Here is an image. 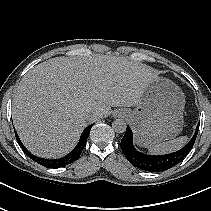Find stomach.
Masks as SVG:
<instances>
[{"instance_id": "0dacf381", "label": "stomach", "mask_w": 211, "mask_h": 211, "mask_svg": "<svg viewBox=\"0 0 211 211\" xmlns=\"http://www.w3.org/2000/svg\"><path fill=\"white\" fill-rule=\"evenodd\" d=\"M185 96L171 80L156 77L136 108L119 109L133 128L136 142L151 146L178 136L183 129Z\"/></svg>"}]
</instances>
